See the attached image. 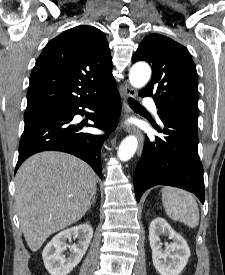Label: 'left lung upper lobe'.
<instances>
[{
	"label": "left lung upper lobe",
	"instance_id": "obj_1",
	"mask_svg": "<svg viewBox=\"0 0 225 275\" xmlns=\"http://www.w3.org/2000/svg\"><path fill=\"white\" fill-rule=\"evenodd\" d=\"M152 65V78L139 95L153 96L158 114L168 113L197 124L198 75L189 51L160 34L144 38L133 56Z\"/></svg>",
	"mask_w": 225,
	"mask_h": 275
}]
</instances>
